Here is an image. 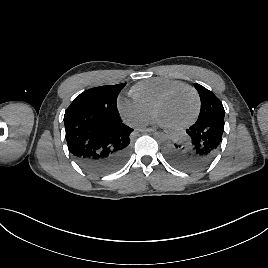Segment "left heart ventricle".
Listing matches in <instances>:
<instances>
[{
	"mask_svg": "<svg viewBox=\"0 0 268 268\" xmlns=\"http://www.w3.org/2000/svg\"><path fill=\"white\" fill-rule=\"evenodd\" d=\"M196 101L191 91L181 89L167 99L158 110V119L166 127L178 126L193 115Z\"/></svg>",
	"mask_w": 268,
	"mask_h": 268,
	"instance_id": "left-heart-ventricle-1",
	"label": "left heart ventricle"
}]
</instances>
